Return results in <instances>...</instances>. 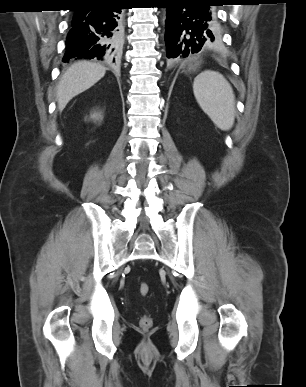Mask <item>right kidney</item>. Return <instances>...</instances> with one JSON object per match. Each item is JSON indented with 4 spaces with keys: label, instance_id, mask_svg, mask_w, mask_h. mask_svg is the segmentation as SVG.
<instances>
[{
    "label": "right kidney",
    "instance_id": "obj_1",
    "mask_svg": "<svg viewBox=\"0 0 306 387\" xmlns=\"http://www.w3.org/2000/svg\"><path fill=\"white\" fill-rule=\"evenodd\" d=\"M92 118H98V115H97V114H94V115L92 116Z\"/></svg>",
    "mask_w": 306,
    "mask_h": 387
}]
</instances>
